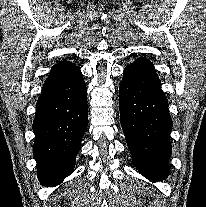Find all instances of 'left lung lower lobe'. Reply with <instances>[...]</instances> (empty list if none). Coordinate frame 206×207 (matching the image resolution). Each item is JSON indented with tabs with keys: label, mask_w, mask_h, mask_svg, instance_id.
<instances>
[{
	"label": "left lung lower lobe",
	"mask_w": 206,
	"mask_h": 207,
	"mask_svg": "<svg viewBox=\"0 0 206 207\" xmlns=\"http://www.w3.org/2000/svg\"><path fill=\"white\" fill-rule=\"evenodd\" d=\"M153 63L138 58L124 70L120 121L135 167L153 181L169 173L172 121Z\"/></svg>",
	"instance_id": "0a47b994"
}]
</instances>
